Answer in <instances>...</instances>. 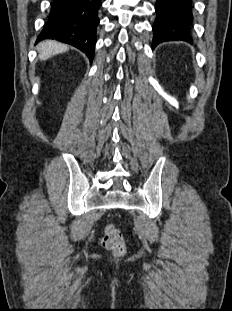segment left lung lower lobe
<instances>
[{"label":"left lung lower lobe","instance_id":"left-lung-lower-lobe-1","mask_svg":"<svg viewBox=\"0 0 232 311\" xmlns=\"http://www.w3.org/2000/svg\"><path fill=\"white\" fill-rule=\"evenodd\" d=\"M155 11L153 47L164 41L191 40V0H157Z\"/></svg>","mask_w":232,"mask_h":311}]
</instances>
